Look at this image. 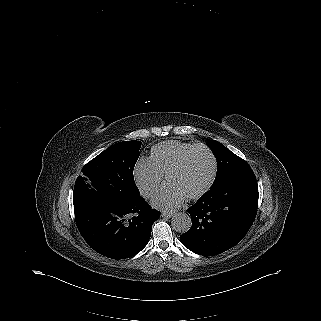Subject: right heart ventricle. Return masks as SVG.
<instances>
[{
    "instance_id": "e07e8e85",
    "label": "right heart ventricle",
    "mask_w": 321,
    "mask_h": 321,
    "mask_svg": "<svg viewBox=\"0 0 321 321\" xmlns=\"http://www.w3.org/2000/svg\"><path fill=\"white\" fill-rule=\"evenodd\" d=\"M197 146L180 140L165 141L152 148L149 160L160 176H167Z\"/></svg>"
}]
</instances>
